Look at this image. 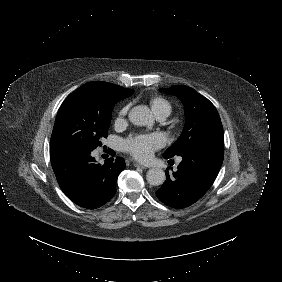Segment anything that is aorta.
Here are the masks:
<instances>
[{"instance_id":"1","label":"aorta","mask_w":282,"mask_h":282,"mask_svg":"<svg viewBox=\"0 0 282 282\" xmlns=\"http://www.w3.org/2000/svg\"><path fill=\"white\" fill-rule=\"evenodd\" d=\"M128 118L131 123L137 126H151L154 123L153 115L146 105H138L133 107ZM166 179L165 172L161 168H151L146 173V180L150 185L159 186Z\"/></svg>"}]
</instances>
